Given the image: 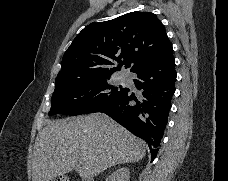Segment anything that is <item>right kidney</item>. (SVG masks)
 <instances>
[{
    "mask_svg": "<svg viewBox=\"0 0 228 181\" xmlns=\"http://www.w3.org/2000/svg\"><path fill=\"white\" fill-rule=\"evenodd\" d=\"M130 171L127 167H123V169H118L115 173H112L106 181H129Z\"/></svg>",
    "mask_w": 228,
    "mask_h": 181,
    "instance_id": "obj_1",
    "label": "right kidney"
}]
</instances>
